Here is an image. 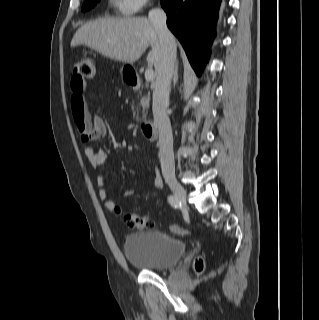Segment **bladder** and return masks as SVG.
Segmentation results:
<instances>
[{
	"label": "bladder",
	"instance_id": "1",
	"mask_svg": "<svg viewBox=\"0 0 319 320\" xmlns=\"http://www.w3.org/2000/svg\"><path fill=\"white\" fill-rule=\"evenodd\" d=\"M123 251L133 266L162 272L179 264L186 251V244L172 234L150 230L127 235Z\"/></svg>",
	"mask_w": 319,
	"mask_h": 320
}]
</instances>
